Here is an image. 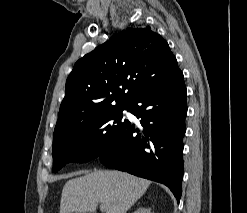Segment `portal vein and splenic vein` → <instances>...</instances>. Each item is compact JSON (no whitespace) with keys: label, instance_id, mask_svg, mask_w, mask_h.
<instances>
[{"label":"portal vein and splenic vein","instance_id":"1","mask_svg":"<svg viewBox=\"0 0 247 213\" xmlns=\"http://www.w3.org/2000/svg\"><path fill=\"white\" fill-rule=\"evenodd\" d=\"M101 208H103V204H101Z\"/></svg>","mask_w":247,"mask_h":213}]
</instances>
